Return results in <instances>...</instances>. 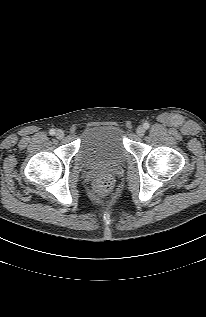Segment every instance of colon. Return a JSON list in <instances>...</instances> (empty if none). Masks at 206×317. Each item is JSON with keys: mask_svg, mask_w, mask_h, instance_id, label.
Returning a JSON list of instances; mask_svg holds the SVG:
<instances>
[{"mask_svg": "<svg viewBox=\"0 0 206 317\" xmlns=\"http://www.w3.org/2000/svg\"><path fill=\"white\" fill-rule=\"evenodd\" d=\"M113 180L109 176H101L94 182V193L99 197H107L113 190Z\"/></svg>", "mask_w": 206, "mask_h": 317, "instance_id": "5ec220e1", "label": "colon"}]
</instances>
